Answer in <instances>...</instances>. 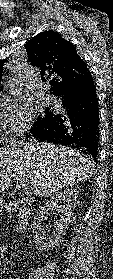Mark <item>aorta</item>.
<instances>
[{
	"mask_svg": "<svg viewBox=\"0 0 113 279\" xmlns=\"http://www.w3.org/2000/svg\"><path fill=\"white\" fill-rule=\"evenodd\" d=\"M16 91H17V88H12L13 93H16Z\"/></svg>",
	"mask_w": 113,
	"mask_h": 279,
	"instance_id": "obj_1",
	"label": "aorta"
}]
</instances>
